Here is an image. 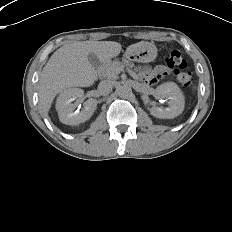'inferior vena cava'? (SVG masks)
Listing matches in <instances>:
<instances>
[{
    "label": "inferior vena cava",
    "mask_w": 232,
    "mask_h": 232,
    "mask_svg": "<svg viewBox=\"0 0 232 232\" xmlns=\"http://www.w3.org/2000/svg\"><path fill=\"white\" fill-rule=\"evenodd\" d=\"M114 87V82L111 80H103L98 85V92L100 95L109 94Z\"/></svg>",
    "instance_id": "602c4592"
}]
</instances>
